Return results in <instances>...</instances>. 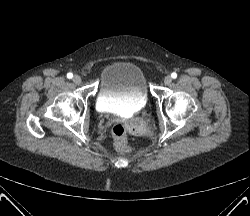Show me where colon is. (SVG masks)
<instances>
[{"mask_svg": "<svg viewBox=\"0 0 250 216\" xmlns=\"http://www.w3.org/2000/svg\"><path fill=\"white\" fill-rule=\"evenodd\" d=\"M112 135L116 148L121 152H128L130 145L128 142L127 131L125 126L118 122L112 127Z\"/></svg>", "mask_w": 250, "mask_h": 216, "instance_id": "5ec220e1", "label": "colon"}]
</instances>
